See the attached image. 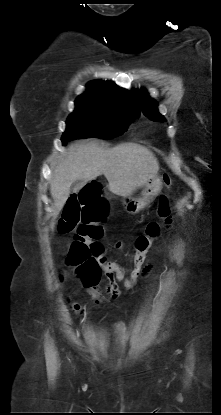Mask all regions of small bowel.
I'll use <instances>...</instances> for the list:
<instances>
[{
	"instance_id": "c3829d8e",
	"label": "small bowel",
	"mask_w": 221,
	"mask_h": 415,
	"mask_svg": "<svg viewBox=\"0 0 221 415\" xmlns=\"http://www.w3.org/2000/svg\"><path fill=\"white\" fill-rule=\"evenodd\" d=\"M166 222L169 223V220H167ZM114 247L117 248V249H122L124 246H123V243L122 242H117L114 245ZM150 270H151V265L150 264H146L145 270L142 271V273L140 275L146 276L150 272ZM108 282H109V284H108V287H107V293L109 294V296L111 298H117L119 296V294H120V288H119L118 283H111L109 281V279H108ZM122 285H123V283H122ZM86 292L89 293L93 297V299H95V300H98L101 297L100 292L95 287H93V286L87 287L86 288ZM128 292H130V291H128ZM72 309L76 313H82L83 312L82 307L78 303H73L72 304Z\"/></svg>"
}]
</instances>
